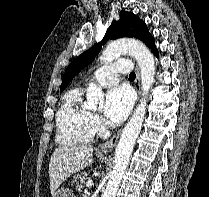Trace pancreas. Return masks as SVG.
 I'll list each match as a JSON object with an SVG mask.
<instances>
[{"mask_svg":"<svg viewBox=\"0 0 209 197\" xmlns=\"http://www.w3.org/2000/svg\"><path fill=\"white\" fill-rule=\"evenodd\" d=\"M88 179L87 173H81L74 176L72 180V185H77V187H81V183H83L84 180Z\"/></svg>","mask_w":209,"mask_h":197,"instance_id":"pancreas-1","label":"pancreas"}]
</instances>
